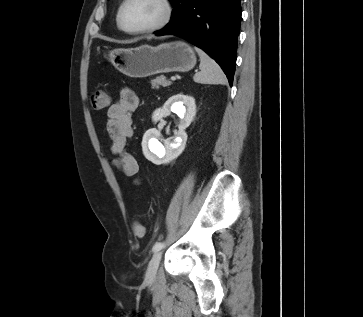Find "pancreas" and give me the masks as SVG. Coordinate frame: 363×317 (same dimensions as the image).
I'll return each instance as SVG.
<instances>
[{
	"mask_svg": "<svg viewBox=\"0 0 363 317\" xmlns=\"http://www.w3.org/2000/svg\"><path fill=\"white\" fill-rule=\"evenodd\" d=\"M151 85L153 89H159V86L167 87L171 82L166 80L165 76H159L151 80Z\"/></svg>",
	"mask_w": 363,
	"mask_h": 317,
	"instance_id": "pancreas-1",
	"label": "pancreas"
}]
</instances>
